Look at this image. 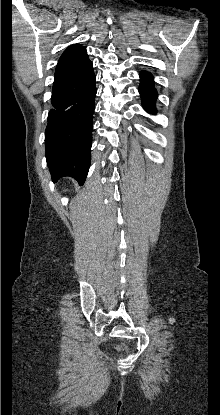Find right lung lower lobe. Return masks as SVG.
<instances>
[{"label": "right lung lower lobe", "instance_id": "obj_1", "mask_svg": "<svg viewBox=\"0 0 220 415\" xmlns=\"http://www.w3.org/2000/svg\"><path fill=\"white\" fill-rule=\"evenodd\" d=\"M96 76L92 62L56 73L53 108L45 131L46 160L53 182L70 176L83 184L90 166Z\"/></svg>", "mask_w": 220, "mask_h": 415}]
</instances>
